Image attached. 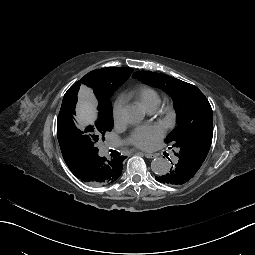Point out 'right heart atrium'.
Returning a JSON list of instances; mask_svg holds the SVG:
<instances>
[{
  "instance_id": "d8ad5b80",
  "label": "right heart atrium",
  "mask_w": 255,
  "mask_h": 255,
  "mask_svg": "<svg viewBox=\"0 0 255 255\" xmlns=\"http://www.w3.org/2000/svg\"><path fill=\"white\" fill-rule=\"evenodd\" d=\"M124 100L118 99L113 106V119L115 123H119L123 119Z\"/></svg>"
}]
</instances>
